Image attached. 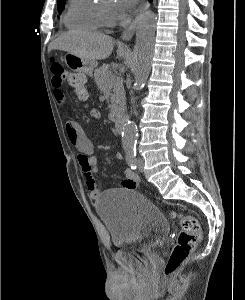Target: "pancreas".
<instances>
[{
  "mask_svg": "<svg viewBox=\"0 0 245 300\" xmlns=\"http://www.w3.org/2000/svg\"><path fill=\"white\" fill-rule=\"evenodd\" d=\"M94 79L101 91H109L111 101V104L109 105V117L111 120H114L125 108L122 81L109 70L108 65H103L99 69H96Z\"/></svg>",
  "mask_w": 245,
  "mask_h": 300,
  "instance_id": "obj_1",
  "label": "pancreas"
}]
</instances>
